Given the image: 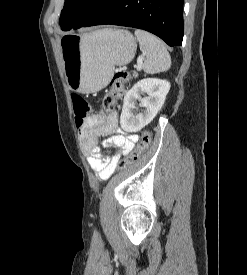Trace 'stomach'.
Listing matches in <instances>:
<instances>
[{
	"instance_id": "stomach-1",
	"label": "stomach",
	"mask_w": 247,
	"mask_h": 275,
	"mask_svg": "<svg viewBox=\"0 0 247 275\" xmlns=\"http://www.w3.org/2000/svg\"><path fill=\"white\" fill-rule=\"evenodd\" d=\"M60 48L69 88L94 93L108 85L115 66L132 61L137 43L127 30L102 29L83 36L65 35Z\"/></svg>"
}]
</instances>
